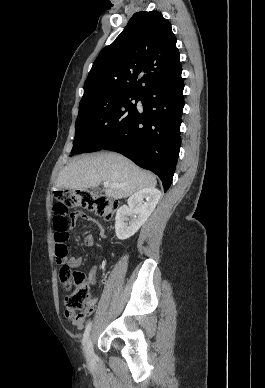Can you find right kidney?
<instances>
[{
  "instance_id": "right-kidney-1",
  "label": "right kidney",
  "mask_w": 265,
  "mask_h": 388,
  "mask_svg": "<svg viewBox=\"0 0 265 388\" xmlns=\"http://www.w3.org/2000/svg\"><path fill=\"white\" fill-rule=\"evenodd\" d=\"M161 192L156 188H143L128 198V206H121L115 218V232L119 240H128L145 224L155 210ZM146 200V202H143Z\"/></svg>"
}]
</instances>
